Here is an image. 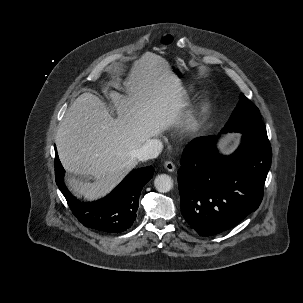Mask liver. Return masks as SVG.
<instances>
[{"mask_svg":"<svg viewBox=\"0 0 303 303\" xmlns=\"http://www.w3.org/2000/svg\"><path fill=\"white\" fill-rule=\"evenodd\" d=\"M127 95L110 91L118 118L91 93L81 94L60 123L55 143L64 168L95 182L70 177L78 196L98 199L110 192L136 165L134 152L178 120L184 92L178 76L162 57L146 52L123 82Z\"/></svg>","mask_w":303,"mask_h":303,"instance_id":"liver-1","label":"liver"}]
</instances>
